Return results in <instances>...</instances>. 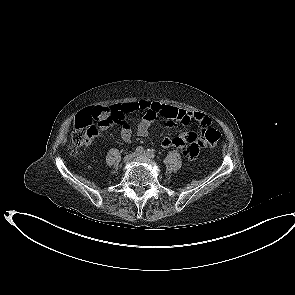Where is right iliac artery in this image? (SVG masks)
I'll list each match as a JSON object with an SVG mask.
<instances>
[{"mask_svg": "<svg viewBox=\"0 0 295 295\" xmlns=\"http://www.w3.org/2000/svg\"><path fill=\"white\" fill-rule=\"evenodd\" d=\"M143 151H144V148H143L142 146H138V147L136 148V152H137L138 154L142 153Z\"/></svg>", "mask_w": 295, "mask_h": 295, "instance_id": "1", "label": "right iliac artery"}]
</instances>
